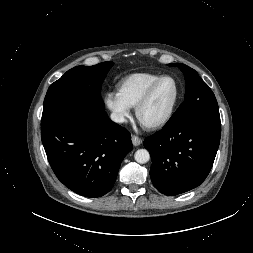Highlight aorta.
Returning <instances> with one entry per match:
<instances>
[{
    "instance_id": "aorta-1",
    "label": "aorta",
    "mask_w": 253,
    "mask_h": 253,
    "mask_svg": "<svg viewBox=\"0 0 253 253\" xmlns=\"http://www.w3.org/2000/svg\"><path fill=\"white\" fill-rule=\"evenodd\" d=\"M134 158L136 162L144 164L150 160V154L146 149H139L135 152Z\"/></svg>"
}]
</instances>
